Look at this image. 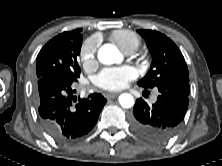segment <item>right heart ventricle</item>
I'll return each mask as SVG.
<instances>
[{
	"label": "right heart ventricle",
	"instance_id": "right-heart-ventricle-1",
	"mask_svg": "<svg viewBox=\"0 0 222 166\" xmlns=\"http://www.w3.org/2000/svg\"><path fill=\"white\" fill-rule=\"evenodd\" d=\"M110 37L127 54L134 53L141 43L140 37L130 30H116Z\"/></svg>",
	"mask_w": 222,
	"mask_h": 166
}]
</instances>
